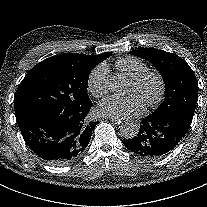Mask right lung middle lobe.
I'll list each match as a JSON object with an SVG mask.
<instances>
[{
    "label": "right lung middle lobe",
    "instance_id": "dd1d6c3e",
    "mask_svg": "<svg viewBox=\"0 0 207 207\" xmlns=\"http://www.w3.org/2000/svg\"><path fill=\"white\" fill-rule=\"evenodd\" d=\"M91 70L68 60L45 59L20 83L14 98L16 120L44 110L73 115L92 105L87 95Z\"/></svg>",
    "mask_w": 207,
    "mask_h": 207
}]
</instances>
